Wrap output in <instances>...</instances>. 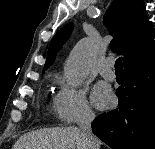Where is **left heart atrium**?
Returning <instances> with one entry per match:
<instances>
[{
    "label": "left heart atrium",
    "mask_w": 155,
    "mask_h": 149,
    "mask_svg": "<svg viewBox=\"0 0 155 149\" xmlns=\"http://www.w3.org/2000/svg\"><path fill=\"white\" fill-rule=\"evenodd\" d=\"M112 100L113 95L106 85L99 83L95 86L92 92V102L97 108H107Z\"/></svg>",
    "instance_id": "obj_1"
}]
</instances>
